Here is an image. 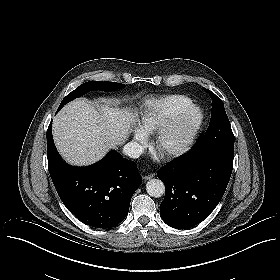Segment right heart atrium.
Returning <instances> with one entry per match:
<instances>
[{"label":"right heart atrium","mask_w":280,"mask_h":280,"mask_svg":"<svg viewBox=\"0 0 280 280\" xmlns=\"http://www.w3.org/2000/svg\"><path fill=\"white\" fill-rule=\"evenodd\" d=\"M135 142H136V144L139 146V147H144L145 146V144H146V141H145V139H143V138H141L140 136H136V138H135Z\"/></svg>","instance_id":"obj_1"}]
</instances>
